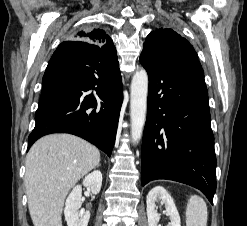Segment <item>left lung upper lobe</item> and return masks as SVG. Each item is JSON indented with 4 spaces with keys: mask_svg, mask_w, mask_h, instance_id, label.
I'll return each mask as SVG.
<instances>
[{
    "mask_svg": "<svg viewBox=\"0 0 247 226\" xmlns=\"http://www.w3.org/2000/svg\"><path fill=\"white\" fill-rule=\"evenodd\" d=\"M143 55L166 62L198 61L193 46L172 29H156L146 38Z\"/></svg>",
    "mask_w": 247,
    "mask_h": 226,
    "instance_id": "5c2ea615",
    "label": "left lung upper lobe"
}]
</instances>
